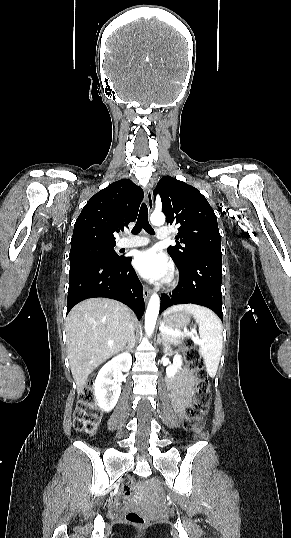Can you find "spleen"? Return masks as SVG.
Instances as JSON below:
<instances>
[{"instance_id": "obj_1", "label": "spleen", "mask_w": 291, "mask_h": 538, "mask_svg": "<svg viewBox=\"0 0 291 538\" xmlns=\"http://www.w3.org/2000/svg\"><path fill=\"white\" fill-rule=\"evenodd\" d=\"M186 311L192 314L199 325V335L203 342L200 353L203 356L207 373L216 375L222 353V325L218 317L208 308L194 304H179L165 313Z\"/></svg>"}]
</instances>
